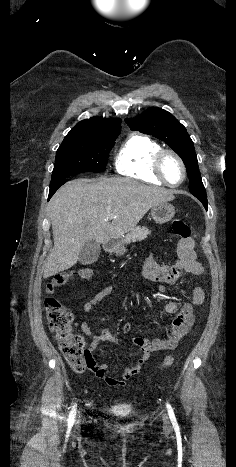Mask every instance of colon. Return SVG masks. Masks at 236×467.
Masks as SVG:
<instances>
[{"mask_svg": "<svg viewBox=\"0 0 236 467\" xmlns=\"http://www.w3.org/2000/svg\"><path fill=\"white\" fill-rule=\"evenodd\" d=\"M174 234L184 240L189 239L191 230L185 220L175 218L171 222ZM76 275L82 280L90 279L93 270L90 267H81L74 272H62L54 275L47 284L49 296L45 299V311L49 329L54 334L59 350L63 357L75 372H81L92 364L93 358L86 342L81 334L72 329L73 314L66 306L52 294L59 288L69 283ZM173 364V357L167 356L161 368H169Z\"/></svg>", "mask_w": 236, "mask_h": 467, "instance_id": "obj_1", "label": "colon"}]
</instances>
